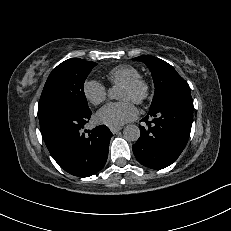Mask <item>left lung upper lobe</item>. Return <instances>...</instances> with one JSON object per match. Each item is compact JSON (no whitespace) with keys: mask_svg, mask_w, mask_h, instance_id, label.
Listing matches in <instances>:
<instances>
[{"mask_svg":"<svg viewBox=\"0 0 231 231\" xmlns=\"http://www.w3.org/2000/svg\"><path fill=\"white\" fill-rule=\"evenodd\" d=\"M133 60L144 62L152 73L155 93L150 109L171 95L190 94L188 83L167 62L150 55H142Z\"/></svg>","mask_w":231,"mask_h":231,"instance_id":"obj_1","label":"left lung upper lobe"}]
</instances>
